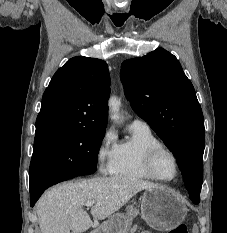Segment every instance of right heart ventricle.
I'll use <instances>...</instances> for the list:
<instances>
[{
    "label": "right heart ventricle",
    "instance_id": "e07e8e85",
    "mask_svg": "<svg viewBox=\"0 0 227 233\" xmlns=\"http://www.w3.org/2000/svg\"><path fill=\"white\" fill-rule=\"evenodd\" d=\"M130 136L117 144L113 174L134 179H152L144 168V155L152 147L162 145L149 128L130 126Z\"/></svg>",
    "mask_w": 227,
    "mask_h": 233
}]
</instances>
